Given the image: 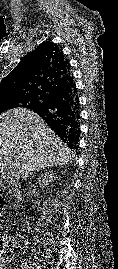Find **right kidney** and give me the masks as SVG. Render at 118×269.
I'll return each instance as SVG.
<instances>
[{"instance_id":"ca27d5eb","label":"right kidney","mask_w":118,"mask_h":269,"mask_svg":"<svg viewBox=\"0 0 118 269\" xmlns=\"http://www.w3.org/2000/svg\"><path fill=\"white\" fill-rule=\"evenodd\" d=\"M55 178V173L50 171V172H45L39 179H38V184L42 187H45L46 185L50 184L53 182Z\"/></svg>"}]
</instances>
